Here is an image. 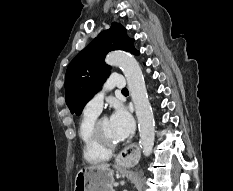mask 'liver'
<instances>
[{
	"instance_id": "obj_1",
	"label": "liver",
	"mask_w": 233,
	"mask_h": 191,
	"mask_svg": "<svg viewBox=\"0 0 233 191\" xmlns=\"http://www.w3.org/2000/svg\"><path fill=\"white\" fill-rule=\"evenodd\" d=\"M109 167H110L109 164H100V165H96V166H91L90 168L106 169V168H109Z\"/></svg>"
}]
</instances>
